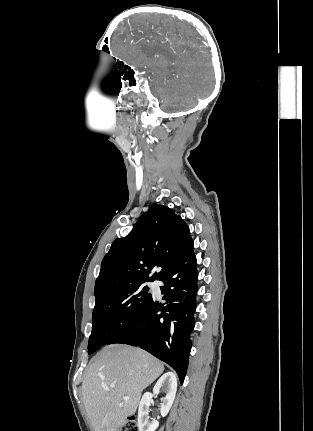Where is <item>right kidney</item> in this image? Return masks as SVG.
Wrapping results in <instances>:
<instances>
[{
  "mask_svg": "<svg viewBox=\"0 0 313 431\" xmlns=\"http://www.w3.org/2000/svg\"><path fill=\"white\" fill-rule=\"evenodd\" d=\"M160 390L165 393V396L161 399V409L160 413L162 417H165L175 399L176 391H177V379L175 374L172 372H167L162 375L155 386L153 387V393L146 392L140 401L139 409H138V429L139 431H155L159 422L155 419L149 420V406L152 402V397L157 395Z\"/></svg>",
  "mask_w": 313,
  "mask_h": 431,
  "instance_id": "right-kidney-1",
  "label": "right kidney"
}]
</instances>
